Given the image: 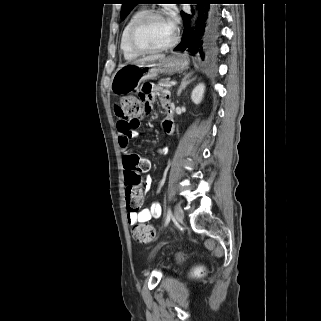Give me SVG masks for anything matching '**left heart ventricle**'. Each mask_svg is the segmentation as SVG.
Returning a JSON list of instances; mask_svg holds the SVG:
<instances>
[{
	"instance_id": "1",
	"label": "left heart ventricle",
	"mask_w": 321,
	"mask_h": 321,
	"mask_svg": "<svg viewBox=\"0 0 321 321\" xmlns=\"http://www.w3.org/2000/svg\"><path fill=\"white\" fill-rule=\"evenodd\" d=\"M174 27L165 17H151L137 32V43L144 48H157L167 44L173 37Z\"/></svg>"
}]
</instances>
